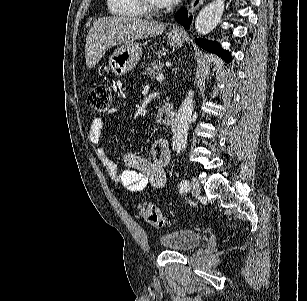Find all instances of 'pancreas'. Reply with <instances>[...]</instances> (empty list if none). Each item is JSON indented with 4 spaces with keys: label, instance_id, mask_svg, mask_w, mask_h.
Returning <instances> with one entry per match:
<instances>
[{
    "label": "pancreas",
    "instance_id": "1",
    "mask_svg": "<svg viewBox=\"0 0 307 301\" xmlns=\"http://www.w3.org/2000/svg\"><path fill=\"white\" fill-rule=\"evenodd\" d=\"M163 66L164 62H150L149 66L145 68V74L150 78H154L156 74H161Z\"/></svg>",
    "mask_w": 307,
    "mask_h": 301
}]
</instances>
